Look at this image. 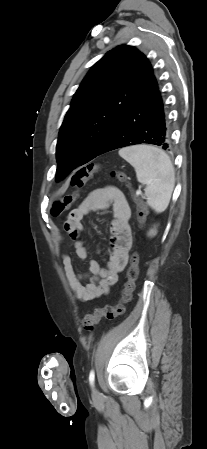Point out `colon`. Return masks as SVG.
I'll return each instance as SVG.
<instances>
[{
    "mask_svg": "<svg viewBox=\"0 0 207 449\" xmlns=\"http://www.w3.org/2000/svg\"><path fill=\"white\" fill-rule=\"evenodd\" d=\"M100 169L98 164H89L79 168L71 178V186L75 188L73 192L63 195L52 208L54 216H60L66 210L71 208L78 197V191L86 184V182ZM112 175L122 184L131 188L128 177L122 171H113ZM132 191V190H131ZM137 206V218L142 223L146 217V209L144 202L140 196L132 191ZM139 254L134 252L130 258V265L127 271V280L124 284L122 296L119 302L112 306L107 305L103 308L96 309L93 313L87 314L82 319V326L86 331H92L95 325L102 319L114 320L121 316L125 311V304L131 300L132 293L135 289V282L139 274Z\"/></svg>",
    "mask_w": 207,
    "mask_h": 449,
    "instance_id": "1",
    "label": "colon"
}]
</instances>
